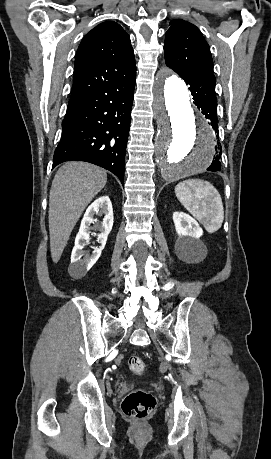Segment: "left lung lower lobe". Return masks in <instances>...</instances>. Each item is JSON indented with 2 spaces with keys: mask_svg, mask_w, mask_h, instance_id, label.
Masks as SVG:
<instances>
[{
  "mask_svg": "<svg viewBox=\"0 0 271 459\" xmlns=\"http://www.w3.org/2000/svg\"><path fill=\"white\" fill-rule=\"evenodd\" d=\"M184 81L190 85L189 90L193 95L194 103L198 109L211 121V125L216 134L217 146L212 164L207 168L208 171L221 172L222 147L219 143L217 125V99L215 94V76L205 75L200 77L180 75Z\"/></svg>",
  "mask_w": 271,
  "mask_h": 459,
  "instance_id": "left-lung-lower-lobe-1",
  "label": "left lung lower lobe"
}]
</instances>
